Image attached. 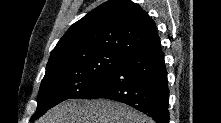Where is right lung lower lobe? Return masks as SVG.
<instances>
[{"mask_svg": "<svg viewBox=\"0 0 221 123\" xmlns=\"http://www.w3.org/2000/svg\"><path fill=\"white\" fill-rule=\"evenodd\" d=\"M107 98L130 105L168 123L169 89L164 53L160 46L131 53L105 75L86 99Z\"/></svg>", "mask_w": 221, "mask_h": 123, "instance_id": "right-lung-lower-lobe-1", "label": "right lung lower lobe"}]
</instances>
